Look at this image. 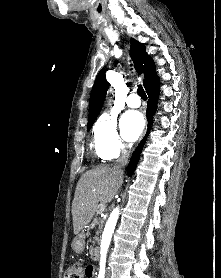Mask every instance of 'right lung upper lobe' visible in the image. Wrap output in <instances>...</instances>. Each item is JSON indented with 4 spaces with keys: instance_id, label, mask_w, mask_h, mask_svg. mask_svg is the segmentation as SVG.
<instances>
[{
    "instance_id": "cb5924a9",
    "label": "right lung upper lobe",
    "mask_w": 221,
    "mask_h": 278,
    "mask_svg": "<svg viewBox=\"0 0 221 278\" xmlns=\"http://www.w3.org/2000/svg\"><path fill=\"white\" fill-rule=\"evenodd\" d=\"M131 49L130 54L134 61L136 71L139 74L144 73L145 79L143 81L144 87H146L152 80H154L157 75L155 71V64L151 57L146 53L145 46L131 39ZM108 89V83L105 78V69H102L94 83V86L91 91L90 100H89V118L88 125L93 124L97 118L106 96Z\"/></svg>"
}]
</instances>
